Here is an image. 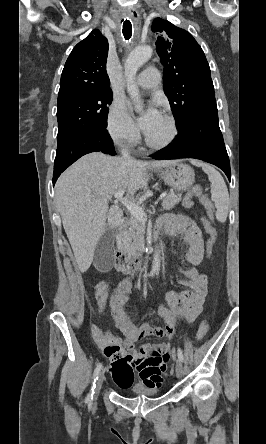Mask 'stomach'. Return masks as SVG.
<instances>
[{"label": "stomach", "mask_w": 266, "mask_h": 444, "mask_svg": "<svg viewBox=\"0 0 266 444\" xmlns=\"http://www.w3.org/2000/svg\"><path fill=\"white\" fill-rule=\"evenodd\" d=\"M159 174L167 185L179 191L190 188L195 181L194 170L179 161L160 170Z\"/></svg>", "instance_id": "obj_1"}]
</instances>
